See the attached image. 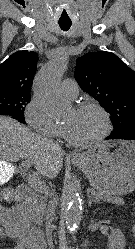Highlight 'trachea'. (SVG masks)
<instances>
[{"mask_svg":"<svg viewBox=\"0 0 135 249\" xmlns=\"http://www.w3.org/2000/svg\"><path fill=\"white\" fill-rule=\"evenodd\" d=\"M71 22H59V26L63 31H68L71 27Z\"/></svg>","mask_w":135,"mask_h":249,"instance_id":"1","label":"trachea"}]
</instances>
